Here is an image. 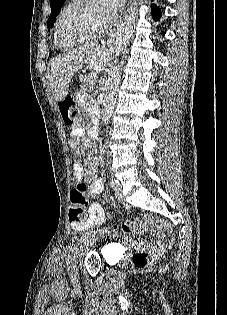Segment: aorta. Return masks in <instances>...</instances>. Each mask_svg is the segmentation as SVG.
<instances>
[{
	"label": "aorta",
	"mask_w": 227,
	"mask_h": 315,
	"mask_svg": "<svg viewBox=\"0 0 227 315\" xmlns=\"http://www.w3.org/2000/svg\"><path fill=\"white\" fill-rule=\"evenodd\" d=\"M131 37L129 31L119 29L111 39V47L115 51H119L126 45ZM120 83V68L119 64L115 63L108 73V78L104 85V99L102 103V120L105 124L110 122L115 101L116 94Z\"/></svg>",
	"instance_id": "obj_1"
}]
</instances>
